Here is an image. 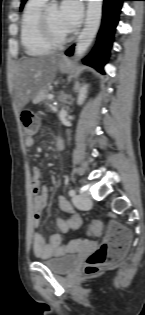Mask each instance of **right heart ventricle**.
<instances>
[{"mask_svg":"<svg viewBox=\"0 0 145 315\" xmlns=\"http://www.w3.org/2000/svg\"><path fill=\"white\" fill-rule=\"evenodd\" d=\"M44 7L42 0H30L23 11L20 37L28 55H46L52 50V47L43 39L39 29V20Z\"/></svg>","mask_w":145,"mask_h":315,"instance_id":"e07e8e85","label":"right heart ventricle"}]
</instances>
